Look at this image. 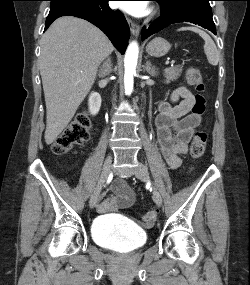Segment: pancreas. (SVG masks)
Instances as JSON below:
<instances>
[{"label":"pancreas","instance_id":"cf45deb5","mask_svg":"<svg viewBox=\"0 0 250 285\" xmlns=\"http://www.w3.org/2000/svg\"><path fill=\"white\" fill-rule=\"evenodd\" d=\"M182 73V66L169 67L164 70L166 83L177 80Z\"/></svg>","mask_w":250,"mask_h":285}]
</instances>
